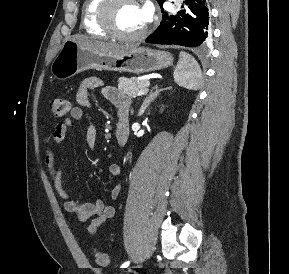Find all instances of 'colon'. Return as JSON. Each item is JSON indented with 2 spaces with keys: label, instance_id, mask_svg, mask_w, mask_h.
<instances>
[{
  "label": "colon",
  "instance_id": "colon-1",
  "mask_svg": "<svg viewBox=\"0 0 289 274\" xmlns=\"http://www.w3.org/2000/svg\"><path fill=\"white\" fill-rule=\"evenodd\" d=\"M49 107L55 117H64L70 110V103L67 99L64 98H54L50 100ZM94 259L95 262L100 266H106L109 263L108 255L100 250H94Z\"/></svg>",
  "mask_w": 289,
  "mask_h": 274
}]
</instances>
